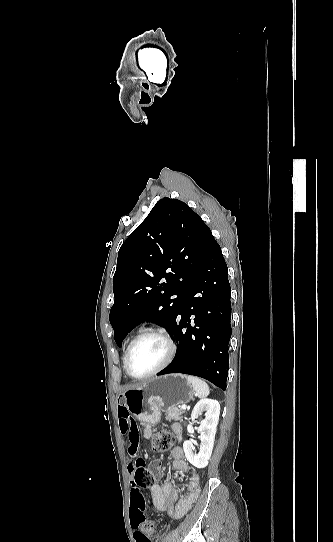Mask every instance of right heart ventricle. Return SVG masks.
<instances>
[{
    "instance_id": "1",
    "label": "right heart ventricle",
    "mask_w": 333,
    "mask_h": 542,
    "mask_svg": "<svg viewBox=\"0 0 333 542\" xmlns=\"http://www.w3.org/2000/svg\"><path fill=\"white\" fill-rule=\"evenodd\" d=\"M128 346H129V345H127V347H126L125 354H126V351H127V349H128Z\"/></svg>"
}]
</instances>
